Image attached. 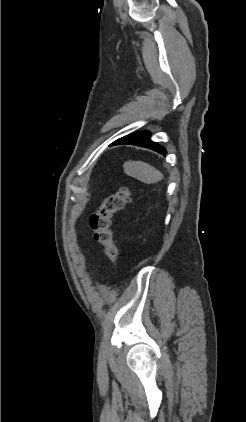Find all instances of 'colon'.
I'll return each instance as SVG.
<instances>
[{"instance_id":"colon-1","label":"colon","mask_w":246,"mask_h":422,"mask_svg":"<svg viewBox=\"0 0 246 422\" xmlns=\"http://www.w3.org/2000/svg\"><path fill=\"white\" fill-rule=\"evenodd\" d=\"M129 198L130 191L123 186L115 193L108 195L89 218L94 239L104 246L105 254L115 266L119 261V248L111 228L112 217L124 207Z\"/></svg>"}]
</instances>
